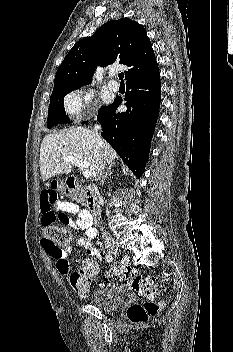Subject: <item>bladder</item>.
Wrapping results in <instances>:
<instances>
[{
    "instance_id": "obj_1",
    "label": "bladder",
    "mask_w": 233,
    "mask_h": 352,
    "mask_svg": "<svg viewBox=\"0 0 233 352\" xmlns=\"http://www.w3.org/2000/svg\"><path fill=\"white\" fill-rule=\"evenodd\" d=\"M125 294L121 286L111 284L100 287L92 297V303L107 313H114L123 304Z\"/></svg>"
}]
</instances>
